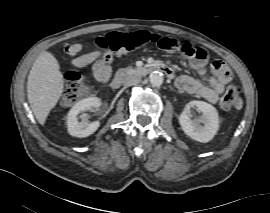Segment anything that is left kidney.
<instances>
[{
  "instance_id": "obj_1",
  "label": "left kidney",
  "mask_w": 270,
  "mask_h": 213,
  "mask_svg": "<svg viewBox=\"0 0 270 213\" xmlns=\"http://www.w3.org/2000/svg\"><path fill=\"white\" fill-rule=\"evenodd\" d=\"M190 107L202 112L204 126H200L189 116ZM179 123L184 133L190 138L206 143L213 139L219 129V117L215 107L204 101H191L179 116Z\"/></svg>"
}]
</instances>
